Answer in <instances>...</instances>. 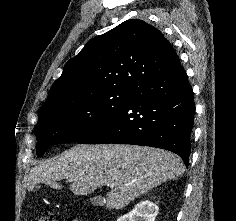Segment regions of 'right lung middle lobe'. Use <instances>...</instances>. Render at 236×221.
<instances>
[{"instance_id": "right-lung-middle-lobe-1", "label": "right lung middle lobe", "mask_w": 236, "mask_h": 221, "mask_svg": "<svg viewBox=\"0 0 236 221\" xmlns=\"http://www.w3.org/2000/svg\"><path fill=\"white\" fill-rule=\"evenodd\" d=\"M131 96V89L113 90L41 108L34 129L38 156L52 145L78 141L101 125Z\"/></svg>"}]
</instances>
